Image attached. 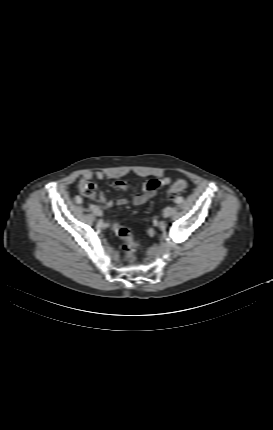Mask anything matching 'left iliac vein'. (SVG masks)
<instances>
[{
    "instance_id": "1",
    "label": "left iliac vein",
    "mask_w": 273,
    "mask_h": 430,
    "mask_svg": "<svg viewBox=\"0 0 273 430\" xmlns=\"http://www.w3.org/2000/svg\"><path fill=\"white\" fill-rule=\"evenodd\" d=\"M172 212H173V208L172 207H166L164 210H163V217H165V218H167V217H169L171 214H172Z\"/></svg>"
}]
</instances>
